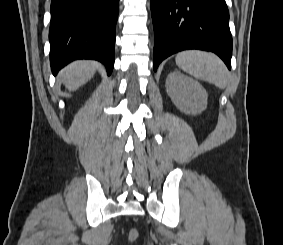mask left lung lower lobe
Here are the masks:
<instances>
[{"label": "left lung lower lobe", "mask_w": 283, "mask_h": 245, "mask_svg": "<svg viewBox=\"0 0 283 245\" xmlns=\"http://www.w3.org/2000/svg\"><path fill=\"white\" fill-rule=\"evenodd\" d=\"M153 69L185 49L216 53L231 69L232 36L225 0H151Z\"/></svg>", "instance_id": "left-lung-lower-lobe-1"}]
</instances>
